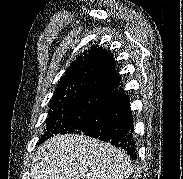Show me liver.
Returning a JSON list of instances; mask_svg holds the SVG:
<instances>
[{"label":"liver","instance_id":"6515ba94","mask_svg":"<svg viewBox=\"0 0 183 179\" xmlns=\"http://www.w3.org/2000/svg\"><path fill=\"white\" fill-rule=\"evenodd\" d=\"M131 173V160L122 150L76 134L44 142L30 169L31 179H125Z\"/></svg>","mask_w":183,"mask_h":179}]
</instances>
